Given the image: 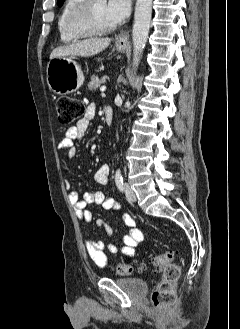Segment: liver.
I'll return each mask as SVG.
<instances>
[{"mask_svg":"<svg viewBox=\"0 0 240 329\" xmlns=\"http://www.w3.org/2000/svg\"><path fill=\"white\" fill-rule=\"evenodd\" d=\"M110 42V38H91L69 45L60 46L51 52L50 59L70 55L90 57L106 49Z\"/></svg>","mask_w":240,"mask_h":329,"instance_id":"obj_1","label":"liver"}]
</instances>
